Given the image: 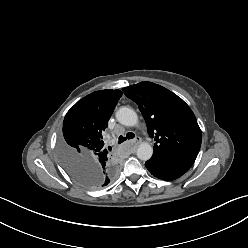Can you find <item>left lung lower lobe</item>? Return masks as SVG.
<instances>
[{"label": "left lung lower lobe", "mask_w": 248, "mask_h": 248, "mask_svg": "<svg viewBox=\"0 0 248 248\" xmlns=\"http://www.w3.org/2000/svg\"><path fill=\"white\" fill-rule=\"evenodd\" d=\"M195 159V157H183L163 160L152 156L145 163V166L155 177L165 181H172L186 173Z\"/></svg>", "instance_id": "1"}]
</instances>
